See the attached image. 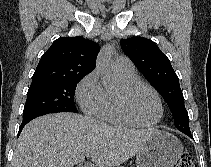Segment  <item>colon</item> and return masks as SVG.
<instances>
[{
	"instance_id": "colon-1",
	"label": "colon",
	"mask_w": 211,
	"mask_h": 167,
	"mask_svg": "<svg viewBox=\"0 0 211 167\" xmlns=\"http://www.w3.org/2000/svg\"><path fill=\"white\" fill-rule=\"evenodd\" d=\"M175 167H196L192 155L185 153L181 156Z\"/></svg>"
}]
</instances>
